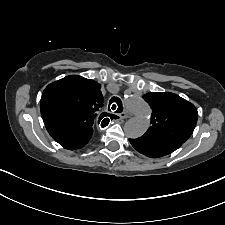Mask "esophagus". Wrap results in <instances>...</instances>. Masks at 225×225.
Segmentation results:
<instances>
[{
    "mask_svg": "<svg viewBox=\"0 0 225 225\" xmlns=\"http://www.w3.org/2000/svg\"><path fill=\"white\" fill-rule=\"evenodd\" d=\"M115 120H124L128 118V114L126 112L122 113L121 115H116Z\"/></svg>",
    "mask_w": 225,
    "mask_h": 225,
    "instance_id": "esophagus-1",
    "label": "esophagus"
}]
</instances>
